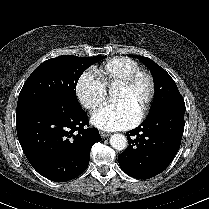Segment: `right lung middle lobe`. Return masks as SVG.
<instances>
[{"mask_svg":"<svg viewBox=\"0 0 209 209\" xmlns=\"http://www.w3.org/2000/svg\"><path fill=\"white\" fill-rule=\"evenodd\" d=\"M106 56L62 55L46 60L28 77L19 94L16 117L47 104L80 107L76 85L82 73Z\"/></svg>","mask_w":209,"mask_h":209,"instance_id":"right-lung-middle-lobe-1","label":"right lung middle lobe"}]
</instances>
